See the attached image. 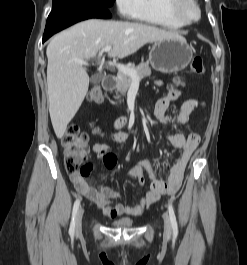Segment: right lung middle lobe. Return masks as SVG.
<instances>
[{"mask_svg":"<svg viewBox=\"0 0 247 265\" xmlns=\"http://www.w3.org/2000/svg\"><path fill=\"white\" fill-rule=\"evenodd\" d=\"M115 0H53L52 10L71 6H99L108 8Z\"/></svg>","mask_w":247,"mask_h":265,"instance_id":"obj_1","label":"right lung middle lobe"}]
</instances>
